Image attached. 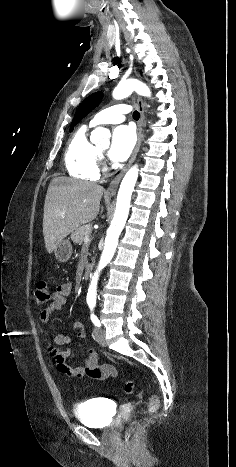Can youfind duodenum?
<instances>
[{
    "label": "duodenum",
    "instance_id": "410a0bca",
    "mask_svg": "<svg viewBox=\"0 0 236 467\" xmlns=\"http://www.w3.org/2000/svg\"><path fill=\"white\" fill-rule=\"evenodd\" d=\"M92 269H93V265L92 263H88L85 265L84 269H83V279H88L91 272H92Z\"/></svg>",
    "mask_w": 236,
    "mask_h": 467
}]
</instances>
